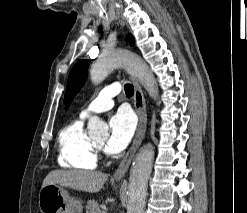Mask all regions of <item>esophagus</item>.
<instances>
[{"label":"esophagus","mask_w":247,"mask_h":213,"mask_svg":"<svg viewBox=\"0 0 247 213\" xmlns=\"http://www.w3.org/2000/svg\"><path fill=\"white\" fill-rule=\"evenodd\" d=\"M134 85V106L139 116V123L137 127V131L132 142L131 147L128 152L120 162L117 170L114 173L115 179H120L124 177L125 173L128 171L131 161L134 157L135 152L139 148L140 144L145 135L146 125H147V110H146V102L142 92V89L138 82L132 79Z\"/></svg>","instance_id":"obj_1"}]
</instances>
